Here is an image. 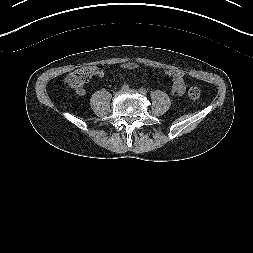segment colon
<instances>
[{
    "label": "colon",
    "instance_id": "colon-1",
    "mask_svg": "<svg viewBox=\"0 0 253 253\" xmlns=\"http://www.w3.org/2000/svg\"><path fill=\"white\" fill-rule=\"evenodd\" d=\"M92 76V69L90 67H81L71 73L66 79V85L72 90L78 91L83 89L84 85ZM201 91L198 87L192 86L188 89L189 98L196 100L200 97Z\"/></svg>",
    "mask_w": 253,
    "mask_h": 253
}]
</instances>
